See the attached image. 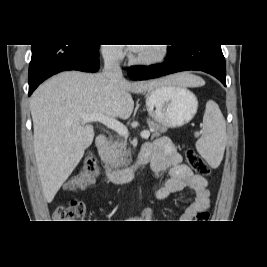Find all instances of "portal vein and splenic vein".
<instances>
[{
	"label": "portal vein and splenic vein",
	"instance_id": "obj_1",
	"mask_svg": "<svg viewBox=\"0 0 267 267\" xmlns=\"http://www.w3.org/2000/svg\"><path fill=\"white\" fill-rule=\"evenodd\" d=\"M81 118L84 124L88 122H100L105 126L115 130L120 136L128 137L129 135L126 126H124L121 122L117 121L116 119L106 116L104 114H99V113L83 114L81 115ZM149 136H150L149 131L141 132L142 138L147 139L149 138Z\"/></svg>",
	"mask_w": 267,
	"mask_h": 267
}]
</instances>
